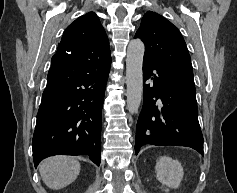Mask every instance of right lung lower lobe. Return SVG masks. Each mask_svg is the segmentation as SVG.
I'll return each mask as SVG.
<instances>
[{"instance_id":"1","label":"right lung lower lobe","mask_w":237,"mask_h":193,"mask_svg":"<svg viewBox=\"0 0 237 193\" xmlns=\"http://www.w3.org/2000/svg\"><path fill=\"white\" fill-rule=\"evenodd\" d=\"M111 57L77 63L53 56L32 140L35 167L56 154L88 155L100 165L102 107Z\"/></svg>"}]
</instances>
